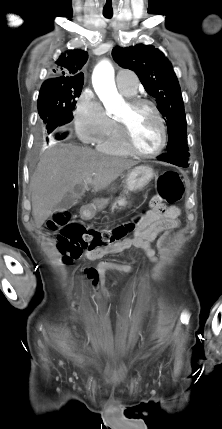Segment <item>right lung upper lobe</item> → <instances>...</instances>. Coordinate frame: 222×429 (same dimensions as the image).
Listing matches in <instances>:
<instances>
[{
  "label": "right lung upper lobe",
  "mask_w": 222,
  "mask_h": 429,
  "mask_svg": "<svg viewBox=\"0 0 222 429\" xmlns=\"http://www.w3.org/2000/svg\"><path fill=\"white\" fill-rule=\"evenodd\" d=\"M88 53L79 49L62 53L55 62V78L46 80L43 85H74L83 84L84 74L80 71L86 63Z\"/></svg>",
  "instance_id": "right-lung-upper-lobe-1"
}]
</instances>
